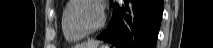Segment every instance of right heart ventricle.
<instances>
[{
	"instance_id": "e07e8e85",
	"label": "right heart ventricle",
	"mask_w": 213,
	"mask_h": 48,
	"mask_svg": "<svg viewBox=\"0 0 213 48\" xmlns=\"http://www.w3.org/2000/svg\"><path fill=\"white\" fill-rule=\"evenodd\" d=\"M71 1H67L65 6L62 9V16H61V31L65 38V40L69 43H75L80 41L83 37L77 34L75 31L72 30L70 27L68 20H67V12L70 6Z\"/></svg>"
}]
</instances>
